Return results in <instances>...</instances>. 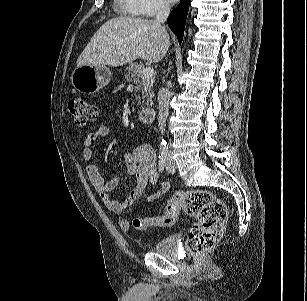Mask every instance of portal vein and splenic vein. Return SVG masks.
I'll return each mask as SVG.
<instances>
[{
	"mask_svg": "<svg viewBox=\"0 0 307 301\" xmlns=\"http://www.w3.org/2000/svg\"><path fill=\"white\" fill-rule=\"evenodd\" d=\"M140 74L145 78H150L154 75V69L152 67L143 68Z\"/></svg>",
	"mask_w": 307,
	"mask_h": 301,
	"instance_id": "18ae733b",
	"label": "portal vein and splenic vein"
}]
</instances>
